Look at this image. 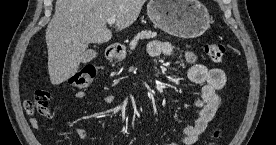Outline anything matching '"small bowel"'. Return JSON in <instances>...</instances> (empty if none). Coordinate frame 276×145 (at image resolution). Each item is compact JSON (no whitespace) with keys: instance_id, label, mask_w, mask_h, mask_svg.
<instances>
[{"instance_id":"1","label":"small bowel","mask_w":276,"mask_h":145,"mask_svg":"<svg viewBox=\"0 0 276 145\" xmlns=\"http://www.w3.org/2000/svg\"><path fill=\"white\" fill-rule=\"evenodd\" d=\"M150 57L160 55H175V50L168 42L152 41L148 46ZM186 59L189 65L187 78L192 83L203 85L200 96L195 100L194 106L198 110V116L194 123L185 127L182 137L173 145H194L200 135L206 130L208 124L213 120L216 111L220 105V99L217 92L224 86L226 75L224 71L217 67H207L198 62L193 53L188 52ZM75 96L80 99H86V93L76 92ZM116 101L114 95L108 94L102 97V103L112 104ZM30 125L33 129L39 128V121L36 118L30 119ZM74 134L80 139H87L89 131L85 128H75Z\"/></svg>"}]
</instances>
